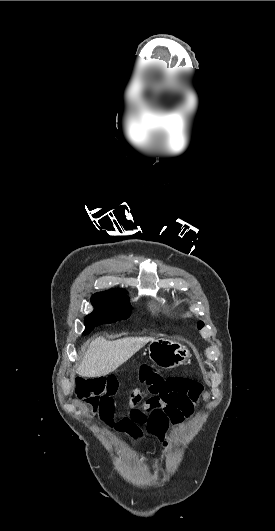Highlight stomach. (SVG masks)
Masks as SVG:
<instances>
[{
	"label": "stomach",
	"instance_id": "1",
	"mask_svg": "<svg viewBox=\"0 0 275 531\" xmlns=\"http://www.w3.org/2000/svg\"><path fill=\"white\" fill-rule=\"evenodd\" d=\"M191 357L187 347L171 339H152L148 350H144V361H153L161 369H174L185 365Z\"/></svg>",
	"mask_w": 275,
	"mask_h": 531
}]
</instances>
